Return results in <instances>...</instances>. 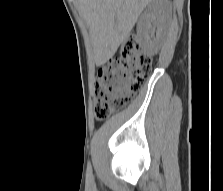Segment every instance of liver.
Returning <instances> with one entry per match:
<instances>
[{"label":"liver","instance_id":"obj_1","mask_svg":"<svg viewBox=\"0 0 223 191\" xmlns=\"http://www.w3.org/2000/svg\"><path fill=\"white\" fill-rule=\"evenodd\" d=\"M153 0H77L86 21L97 66L105 64L126 41L138 17Z\"/></svg>","mask_w":223,"mask_h":191}]
</instances>
